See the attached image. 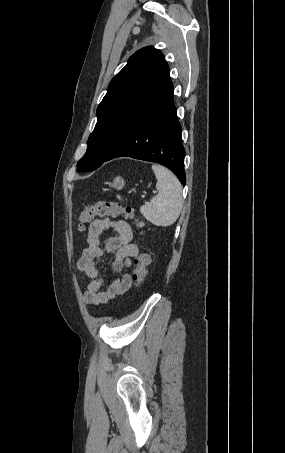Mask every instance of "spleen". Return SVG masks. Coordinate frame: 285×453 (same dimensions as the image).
I'll list each match as a JSON object with an SVG mask.
<instances>
[{
    "label": "spleen",
    "mask_w": 285,
    "mask_h": 453,
    "mask_svg": "<svg viewBox=\"0 0 285 453\" xmlns=\"http://www.w3.org/2000/svg\"><path fill=\"white\" fill-rule=\"evenodd\" d=\"M157 194L140 207L143 217L156 226H170L182 210V186L177 177L167 168L154 164Z\"/></svg>",
    "instance_id": "obj_1"
}]
</instances>
